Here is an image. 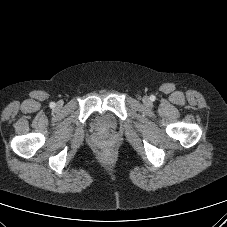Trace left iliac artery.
I'll use <instances>...</instances> for the list:
<instances>
[{"instance_id": "obj_1", "label": "left iliac artery", "mask_w": 227, "mask_h": 227, "mask_svg": "<svg viewBox=\"0 0 227 227\" xmlns=\"http://www.w3.org/2000/svg\"><path fill=\"white\" fill-rule=\"evenodd\" d=\"M155 99H156V98H155V96H153V95L150 97V100H151V101H154Z\"/></svg>"}]
</instances>
